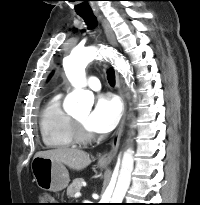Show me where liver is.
Listing matches in <instances>:
<instances>
[{"instance_id":"obj_1","label":"liver","mask_w":200,"mask_h":205,"mask_svg":"<svg viewBox=\"0 0 200 205\" xmlns=\"http://www.w3.org/2000/svg\"><path fill=\"white\" fill-rule=\"evenodd\" d=\"M35 157L50 158L77 171L86 168L91 163L90 155L88 153L67 147L40 151L35 154Z\"/></svg>"}]
</instances>
